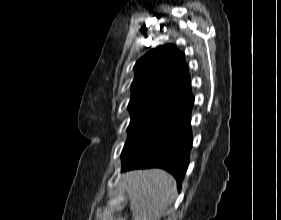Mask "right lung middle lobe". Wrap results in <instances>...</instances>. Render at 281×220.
<instances>
[{
	"mask_svg": "<svg viewBox=\"0 0 281 220\" xmlns=\"http://www.w3.org/2000/svg\"><path fill=\"white\" fill-rule=\"evenodd\" d=\"M169 121V118L161 117L131 118L128 138L121 154L123 165L138 154Z\"/></svg>",
	"mask_w": 281,
	"mask_h": 220,
	"instance_id": "1",
	"label": "right lung middle lobe"
}]
</instances>
